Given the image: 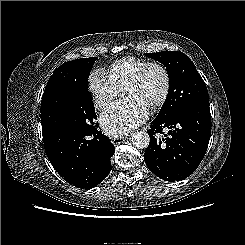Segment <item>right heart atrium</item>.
<instances>
[{"label": "right heart atrium", "instance_id": "obj_1", "mask_svg": "<svg viewBox=\"0 0 245 245\" xmlns=\"http://www.w3.org/2000/svg\"><path fill=\"white\" fill-rule=\"evenodd\" d=\"M88 90L96 109L106 108L117 96L118 89L107 75L99 69L93 70L88 77Z\"/></svg>", "mask_w": 245, "mask_h": 245}]
</instances>
